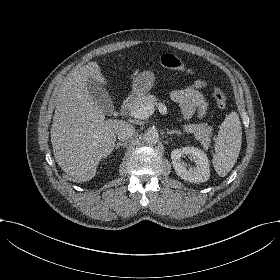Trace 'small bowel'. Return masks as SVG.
Segmentation results:
<instances>
[{"label":"small bowel","mask_w":280,"mask_h":280,"mask_svg":"<svg viewBox=\"0 0 280 280\" xmlns=\"http://www.w3.org/2000/svg\"><path fill=\"white\" fill-rule=\"evenodd\" d=\"M208 86L204 79L196 80L192 85L171 92V98L182 111L184 118L191 119L195 114L203 117L207 111V102L201 90Z\"/></svg>","instance_id":"1"}]
</instances>
